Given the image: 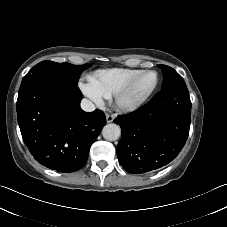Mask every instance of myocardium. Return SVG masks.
Wrapping results in <instances>:
<instances>
[{"mask_svg": "<svg viewBox=\"0 0 227 227\" xmlns=\"http://www.w3.org/2000/svg\"><path fill=\"white\" fill-rule=\"evenodd\" d=\"M147 73H153L155 75V82H154L153 86L150 88V90L143 97H141L137 101L126 103L124 101V99L130 93V91L132 90L136 81L142 75L147 74ZM158 83H159V75H158L157 71L150 70V69L140 71L138 74H136L134 77H132L123 87H121L114 94L113 99H114V103H115L116 107L119 110L126 111V112H131V111H135V110L139 109L152 96V94L154 93V91L156 90V88L158 86Z\"/></svg>", "mask_w": 227, "mask_h": 227, "instance_id": "myocardium-1", "label": "myocardium"}]
</instances>
